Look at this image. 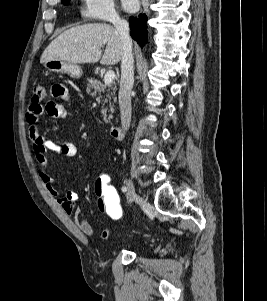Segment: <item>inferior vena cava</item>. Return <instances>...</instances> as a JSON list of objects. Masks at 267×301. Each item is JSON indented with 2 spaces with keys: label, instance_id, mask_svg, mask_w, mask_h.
<instances>
[{
  "label": "inferior vena cava",
  "instance_id": "1",
  "mask_svg": "<svg viewBox=\"0 0 267 301\" xmlns=\"http://www.w3.org/2000/svg\"><path fill=\"white\" fill-rule=\"evenodd\" d=\"M123 47L121 58V81L119 89V106L121 113V125L124 131H128L131 123V90L134 84V58L132 54V39L129 34V24L117 14L111 17Z\"/></svg>",
  "mask_w": 267,
  "mask_h": 301
}]
</instances>
